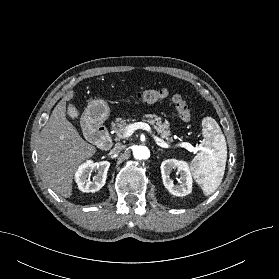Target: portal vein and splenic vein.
Instances as JSON below:
<instances>
[{
    "mask_svg": "<svg viewBox=\"0 0 279 279\" xmlns=\"http://www.w3.org/2000/svg\"><path fill=\"white\" fill-rule=\"evenodd\" d=\"M137 129H142V130H145L147 131L151 136L152 138L155 140V142L163 147V148H169L170 146L165 142L163 141L161 138H159L151 129V127L147 124V123H144V122H136L134 124H130L128 125L126 128H125V133H124V136L127 138V137H130L135 130ZM178 146L180 147H183L185 149H187L188 151L190 152H194L196 153L198 150H202L203 148L198 146V147H194L193 145H191L190 143L188 142H183V143H180Z\"/></svg>",
    "mask_w": 279,
    "mask_h": 279,
    "instance_id": "18ae733b",
    "label": "portal vein and splenic vein"
}]
</instances>
